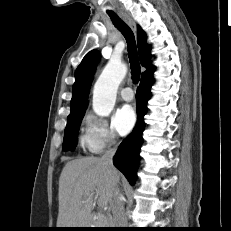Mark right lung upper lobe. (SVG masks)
<instances>
[{
	"instance_id": "right-lung-upper-lobe-1",
	"label": "right lung upper lobe",
	"mask_w": 231,
	"mask_h": 231,
	"mask_svg": "<svg viewBox=\"0 0 231 231\" xmlns=\"http://www.w3.org/2000/svg\"><path fill=\"white\" fill-rule=\"evenodd\" d=\"M146 38L147 37L145 32L138 25L137 43L139 58L141 65L146 68V71L143 72L141 75V80L151 77L154 70V66L149 63L150 46L146 43ZM98 59V50H92L83 58L82 62L76 69V81L72 87L71 111L69 116H75L81 113H85L89 88L93 77V71Z\"/></svg>"
}]
</instances>
